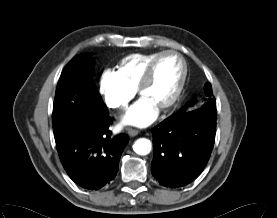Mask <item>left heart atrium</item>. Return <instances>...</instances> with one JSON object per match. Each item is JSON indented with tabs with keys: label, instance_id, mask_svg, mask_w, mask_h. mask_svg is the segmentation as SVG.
<instances>
[{
	"label": "left heart atrium",
	"instance_id": "obj_1",
	"mask_svg": "<svg viewBox=\"0 0 277 218\" xmlns=\"http://www.w3.org/2000/svg\"><path fill=\"white\" fill-rule=\"evenodd\" d=\"M158 115V107L147 97L140 99L126 112L122 118L124 124L144 127L152 123Z\"/></svg>",
	"mask_w": 277,
	"mask_h": 218
}]
</instances>
